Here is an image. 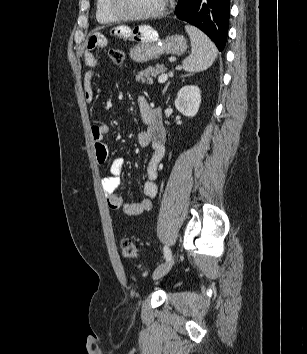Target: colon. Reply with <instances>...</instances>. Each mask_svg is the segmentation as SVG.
I'll return each instance as SVG.
<instances>
[{
    "label": "colon",
    "mask_w": 307,
    "mask_h": 354,
    "mask_svg": "<svg viewBox=\"0 0 307 354\" xmlns=\"http://www.w3.org/2000/svg\"><path fill=\"white\" fill-rule=\"evenodd\" d=\"M109 57L114 63H122L125 59V53L121 49H111L109 51ZM122 254L127 259H136L138 256V251L135 244L128 238H124L121 241Z\"/></svg>",
    "instance_id": "1"
}]
</instances>
